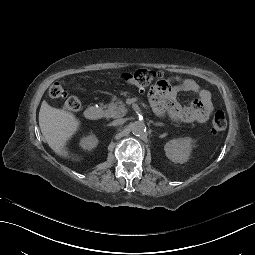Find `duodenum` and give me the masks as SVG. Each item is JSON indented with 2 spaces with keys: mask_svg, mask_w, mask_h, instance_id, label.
Segmentation results:
<instances>
[{
  "mask_svg": "<svg viewBox=\"0 0 255 255\" xmlns=\"http://www.w3.org/2000/svg\"><path fill=\"white\" fill-rule=\"evenodd\" d=\"M157 113H162L163 109L157 108L155 109ZM85 117L88 120H99L103 117V110L97 106H90L85 110Z\"/></svg>",
  "mask_w": 255,
  "mask_h": 255,
  "instance_id": "obj_1",
  "label": "duodenum"
}]
</instances>
